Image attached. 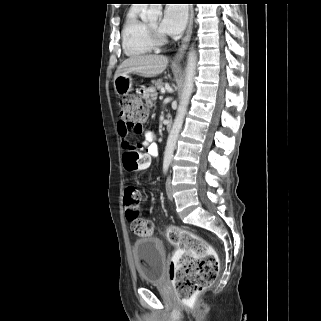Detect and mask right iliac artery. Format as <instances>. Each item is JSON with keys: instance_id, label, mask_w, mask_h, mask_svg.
<instances>
[{"instance_id": "1", "label": "right iliac artery", "mask_w": 321, "mask_h": 321, "mask_svg": "<svg viewBox=\"0 0 321 321\" xmlns=\"http://www.w3.org/2000/svg\"><path fill=\"white\" fill-rule=\"evenodd\" d=\"M168 168H169V164H168V163H165V164L163 165V172H164L165 175H166L167 172H168Z\"/></svg>"}]
</instances>
